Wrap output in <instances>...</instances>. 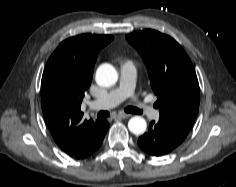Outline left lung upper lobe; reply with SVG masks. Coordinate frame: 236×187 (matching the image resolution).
Here are the masks:
<instances>
[{"label": "left lung upper lobe", "instance_id": "1", "mask_svg": "<svg viewBox=\"0 0 236 187\" xmlns=\"http://www.w3.org/2000/svg\"><path fill=\"white\" fill-rule=\"evenodd\" d=\"M147 67L158 95L159 122L188 135L199 110V84L191 60L170 36L143 30L126 36Z\"/></svg>", "mask_w": 236, "mask_h": 187}]
</instances>
